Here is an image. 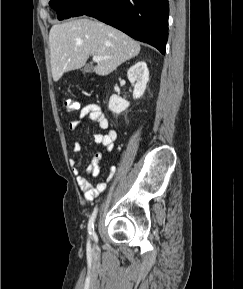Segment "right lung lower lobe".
<instances>
[{
    "mask_svg": "<svg viewBox=\"0 0 243 289\" xmlns=\"http://www.w3.org/2000/svg\"><path fill=\"white\" fill-rule=\"evenodd\" d=\"M168 12V0H87L71 17H94L165 54Z\"/></svg>",
    "mask_w": 243,
    "mask_h": 289,
    "instance_id": "obj_1",
    "label": "right lung lower lobe"
}]
</instances>
